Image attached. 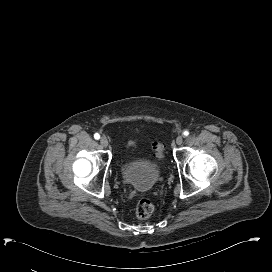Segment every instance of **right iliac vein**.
<instances>
[{
	"instance_id": "right-iliac-vein-1",
	"label": "right iliac vein",
	"mask_w": 272,
	"mask_h": 272,
	"mask_svg": "<svg viewBox=\"0 0 272 272\" xmlns=\"http://www.w3.org/2000/svg\"><path fill=\"white\" fill-rule=\"evenodd\" d=\"M100 144L102 147H107L109 144L108 139L106 137H101Z\"/></svg>"
}]
</instances>
